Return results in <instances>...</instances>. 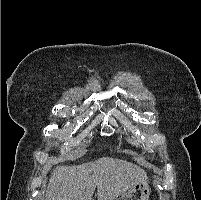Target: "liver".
<instances>
[{
    "mask_svg": "<svg viewBox=\"0 0 201 200\" xmlns=\"http://www.w3.org/2000/svg\"><path fill=\"white\" fill-rule=\"evenodd\" d=\"M146 172L126 160L101 157L77 166H58L49 179L45 200H112L139 182Z\"/></svg>",
    "mask_w": 201,
    "mask_h": 200,
    "instance_id": "obj_1",
    "label": "liver"
}]
</instances>
